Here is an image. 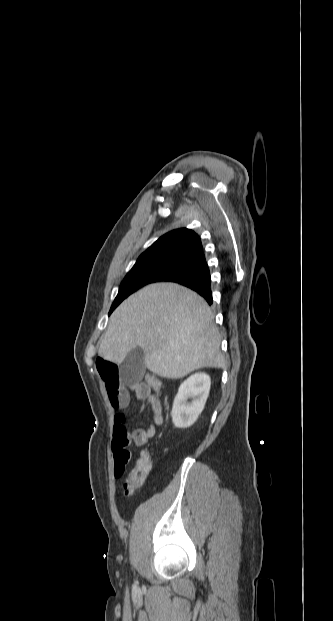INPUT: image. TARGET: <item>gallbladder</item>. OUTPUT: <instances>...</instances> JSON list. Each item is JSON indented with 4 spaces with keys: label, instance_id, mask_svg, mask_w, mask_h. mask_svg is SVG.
I'll return each instance as SVG.
<instances>
[{
    "label": "gallbladder",
    "instance_id": "1",
    "mask_svg": "<svg viewBox=\"0 0 333 621\" xmlns=\"http://www.w3.org/2000/svg\"><path fill=\"white\" fill-rule=\"evenodd\" d=\"M144 352L140 347L132 349L124 359L120 376L126 385H134L141 381L145 373Z\"/></svg>",
    "mask_w": 333,
    "mask_h": 621
}]
</instances>
